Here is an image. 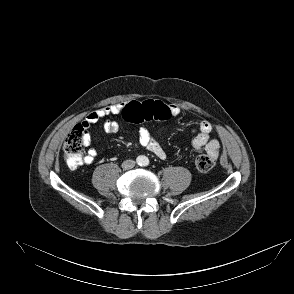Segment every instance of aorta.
<instances>
[{"instance_id":"aorta-1","label":"aorta","mask_w":294,"mask_h":294,"mask_svg":"<svg viewBox=\"0 0 294 294\" xmlns=\"http://www.w3.org/2000/svg\"><path fill=\"white\" fill-rule=\"evenodd\" d=\"M137 159H138V162L141 164H144L145 161H147V157L145 156H139Z\"/></svg>"}]
</instances>
